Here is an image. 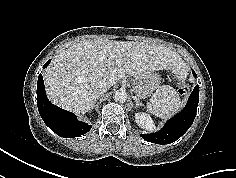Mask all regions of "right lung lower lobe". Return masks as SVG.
<instances>
[{
    "instance_id": "1",
    "label": "right lung lower lobe",
    "mask_w": 236,
    "mask_h": 178,
    "mask_svg": "<svg viewBox=\"0 0 236 178\" xmlns=\"http://www.w3.org/2000/svg\"><path fill=\"white\" fill-rule=\"evenodd\" d=\"M50 60L47 61L43 68L47 67ZM37 106L45 124L60 137H78L87 133L91 125L80 122L75 115L67 112L49 102L45 93V86L42 74L38 77L37 82Z\"/></svg>"
}]
</instances>
